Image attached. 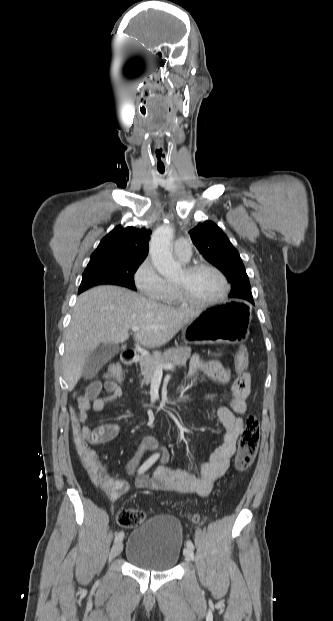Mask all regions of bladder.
<instances>
[{
	"label": "bladder",
	"instance_id": "1",
	"mask_svg": "<svg viewBox=\"0 0 333 621\" xmlns=\"http://www.w3.org/2000/svg\"><path fill=\"white\" fill-rule=\"evenodd\" d=\"M183 546L180 521L161 514L134 527L129 534L126 559L136 568L151 572H166L174 568Z\"/></svg>",
	"mask_w": 333,
	"mask_h": 621
}]
</instances>
